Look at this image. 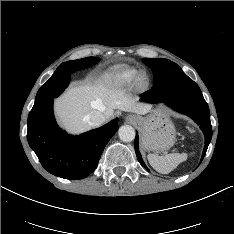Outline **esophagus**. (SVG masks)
Returning a JSON list of instances; mask_svg holds the SVG:
<instances>
[{"instance_id":"esophagus-1","label":"esophagus","mask_w":234,"mask_h":234,"mask_svg":"<svg viewBox=\"0 0 234 234\" xmlns=\"http://www.w3.org/2000/svg\"><path fill=\"white\" fill-rule=\"evenodd\" d=\"M126 119H127V121H129L131 123L137 120L136 117H133L131 115L127 116Z\"/></svg>"}]
</instances>
